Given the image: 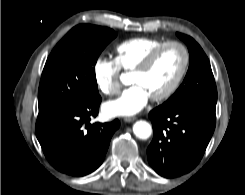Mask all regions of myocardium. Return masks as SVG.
Instances as JSON below:
<instances>
[{"label": "myocardium", "instance_id": "1", "mask_svg": "<svg viewBox=\"0 0 245 195\" xmlns=\"http://www.w3.org/2000/svg\"><path fill=\"white\" fill-rule=\"evenodd\" d=\"M170 46H177L182 50L183 63H182L181 69H180L177 77L172 82V84L162 93L151 97V99L155 102H160V101H164V100L168 99L171 95L174 94V92L180 86V84H181V82H182V80H183V78L187 72L188 65H189V52H188L187 48L185 47V45H183L182 43L177 42V41L164 42L161 45L154 48L152 51H150L146 55V57L132 71V74L143 73V72L147 71L150 68V66L153 64L154 60L159 55V53L162 50H164L165 48L170 47Z\"/></svg>", "mask_w": 245, "mask_h": 195}]
</instances>
